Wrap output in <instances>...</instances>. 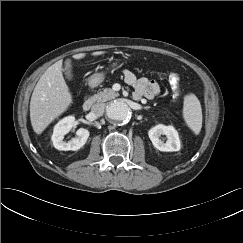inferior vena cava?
Returning a JSON list of instances; mask_svg holds the SVG:
<instances>
[{
	"label": "inferior vena cava",
	"mask_w": 243,
	"mask_h": 243,
	"mask_svg": "<svg viewBox=\"0 0 243 243\" xmlns=\"http://www.w3.org/2000/svg\"><path fill=\"white\" fill-rule=\"evenodd\" d=\"M104 111H105V105L102 103H96L91 108L92 114L96 117L102 116Z\"/></svg>",
	"instance_id": "602c4592"
}]
</instances>
